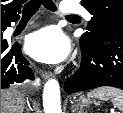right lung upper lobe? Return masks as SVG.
Instances as JSON below:
<instances>
[{
  "mask_svg": "<svg viewBox=\"0 0 123 113\" xmlns=\"http://www.w3.org/2000/svg\"><path fill=\"white\" fill-rule=\"evenodd\" d=\"M26 0H1V19L19 17L20 8Z\"/></svg>",
  "mask_w": 123,
  "mask_h": 113,
  "instance_id": "obj_1",
  "label": "right lung upper lobe"
}]
</instances>
